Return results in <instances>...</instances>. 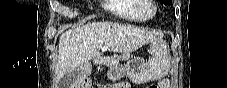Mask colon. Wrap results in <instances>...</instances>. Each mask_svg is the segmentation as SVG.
I'll return each mask as SVG.
<instances>
[{
  "instance_id": "5ec220e1",
  "label": "colon",
  "mask_w": 227,
  "mask_h": 88,
  "mask_svg": "<svg viewBox=\"0 0 227 88\" xmlns=\"http://www.w3.org/2000/svg\"><path fill=\"white\" fill-rule=\"evenodd\" d=\"M151 88H164V86L162 84H157V85L151 86Z\"/></svg>"
}]
</instances>
